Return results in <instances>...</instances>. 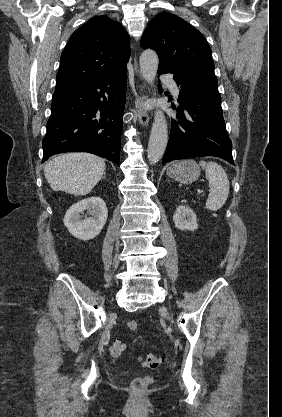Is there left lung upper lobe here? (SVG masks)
<instances>
[{"label":"left lung upper lobe","instance_id":"obj_1","mask_svg":"<svg viewBox=\"0 0 282 417\" xmlns=\"http://www.w3.org/2000/svg\"><path fill=\"white\" fill-rule=\"evenodd\" d=\"M141 47L156 50L158 71L214 74L211 48L192 25L169 12L156 15L141 39Z\"/></svg>","mask_w":282,"mask_h":417}]
</instances>
